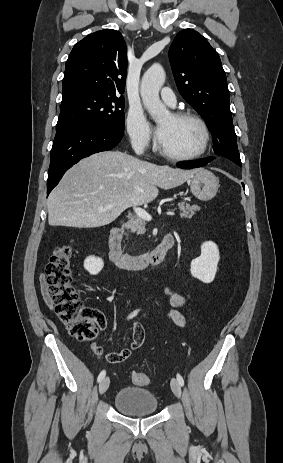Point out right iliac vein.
<instances>
[{
	"label": "right iliac vein",
	"instance_id": "obj_1",
	"mask_svg": "<svg viewBox=\"0 0 283 463\" xmlns=\"http://www.w3.org/2000/svg\"><path fill=\"white\" fill-rule=\"evenodd\" d=\"M109 384H110L109 377L103 378V380L99 384V393L104 394L107 391Z\"/></svg>",
	"mask_w": 283,
	"mask_h": 463
}]
</instances>
